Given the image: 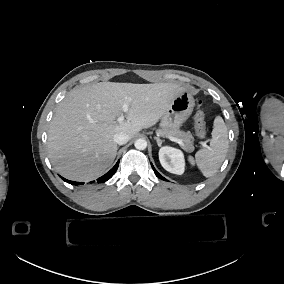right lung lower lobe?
Here are the masks:
<instances>
[{
  "mask_svg": "<svg viewBox=\"0 0 284 284\" xmlns=\"http://www.w3.org/2000/svg\"><path fill=\"white\" fill-rule=\"evenodd\" d=\"M118 165H119V161L115 164V166L109 171V172H107L105 175H103L102 177H100V178H98L97 179V182L98 183H103V182H105V181H107L108 179H110L112 176H113V174L116 172V170H117V168H118ZM61 177V176H60ZM64 181H66V182H68V183H70V184H74V185H78V184H83V183H79V182H74V181H69V180H67V179H65V178H63V177H61ZM91 183H94V181L93 182H91Z\"/></svg>",
  "mask_w": 284,
  "mask_h": 284,
  "instance_id": "98d812e1",
  "label": "right lung lower lobe"
}]
</instances>
